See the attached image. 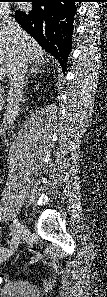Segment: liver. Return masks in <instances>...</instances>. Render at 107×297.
<instances>
[{
  "label": "liver",
  "mask_w": 107,
  "mask_h": 297,
  "mask_svg": "<svg viewBox=\"0 0 107 297\" xmlns=\"http://www.w3.org/2000/svg\"><path fill=\"white\" fill-rule=\"evenodd\" d=\"M20 51H24L30 61L39 64L43 51L37 42L21 28L18 36L12 37L0 31V76H9V71Z\"/></svg>",
  "instance_id": "1"
}]
</instances>
